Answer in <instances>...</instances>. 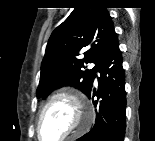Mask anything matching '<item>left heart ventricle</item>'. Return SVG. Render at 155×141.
<instances>
[{"mask_svg": "<svg viewBox=\"0 0 155 141\" xmlns=\"http://www.w3.org/2000/svg\"><path fill=\"white\" fill-rule=\"evenodd\" d=\"M73 106L67 100L53 102L41 120V135L45 141H55L75 126Z\"/></svg>", "mask_w": 155, "mask_h": 141, "instance_id": "b2bd125f", "label": "left heart ventricle"}]
</instances>
